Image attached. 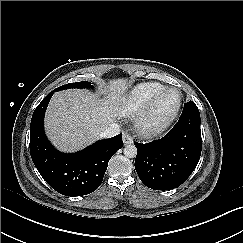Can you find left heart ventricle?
<instances>
[{
    "label": "left heart ventricle",
    "mask_w": 243,
    "mask_h": 243,
    "mask_svg": "<svg viewBox=\"0 0 243 243\" xmlns=\"http://www.w3.org/2000/svg\"><path fill=\"white\" fill-rule=\"evenodd\" d=\"M179 101V94L176 91H169L165 93L159 100L155 111L154 117L163 118L169 115L177 106Z\"/></svg>",
    "instance_id": "1"
}]
</instances>
